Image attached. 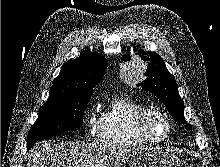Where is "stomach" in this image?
<instances>
[{"label":"stomach","instance_id":"0dacf381","mask_svg":"<svg viewBox=\"0 0 220 167\" xmlns=\"http://www.w3.org/2000/svg\"><path fill=\"white\" fill-rule=\"evenodd\" d=\"M114 167H183L178 157L159 148L129 146L123 159Z\"/></svg>","mask_w":220,"mask_h":167}]
</instances>
